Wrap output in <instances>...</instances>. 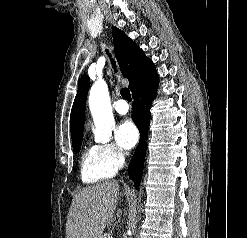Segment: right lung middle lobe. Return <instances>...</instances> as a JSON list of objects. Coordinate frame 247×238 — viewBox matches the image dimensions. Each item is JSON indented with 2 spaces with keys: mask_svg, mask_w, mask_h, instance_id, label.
Masks as SVG:
<instances>
[{
  "mask_svg": "<svg viewBox=\"0 0 247 238\" xmlns=\"http://www.w3.org/2000/svg\"><path fill=\"white\" fill-rule=\"evenodd\" d=\"M81 143H82V139L79 140V141H77V142H75V143H72V145H73V150H74L75 152H79V151H80Z\"/></svg>",
  "mask_w": 247,
  "mask_h": 238,
  "instance_id": "right-lung-middle-lobe-1",
  "label": "right lung middle lobe"
}]
</instances>
